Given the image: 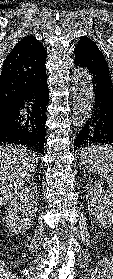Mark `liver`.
Instances as JSON below:
<instances>
[{
	"label": "liver",
	"mask_w": 113,
	"mask_h": 279,
	"mask_svg": "<svg viewBox=\"0 0 113 279\" xmlns=\"http://www.w3.org/2000/svg\"><path fill=\"white\" fill-rule=\"evenodd\" d=\"M39 156L20 145L0 146V207L10 202L31 178Z\"/></svg>",
	"instance_id": "liver-1"
}]
</instances>
